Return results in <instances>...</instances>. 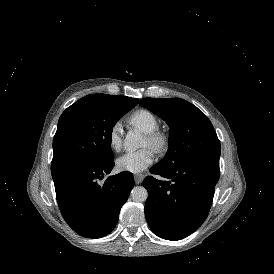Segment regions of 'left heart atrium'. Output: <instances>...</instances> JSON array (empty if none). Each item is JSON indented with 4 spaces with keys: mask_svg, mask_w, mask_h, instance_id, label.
I'll list each match as a JSON object with an SVG mask.
<instances>
[{
    "mask_svg": "<svg viewBox=\"0 0 274 274\" xmlns=\"http://www.w3.org/2000/svg\"><path fill=\"white\" fill-rule=\"evenodd\" d=\"M154 153L151 148H143L133 152H127L116 159V167L122 172L138 173L152 164Z\"/></svg>",
    "mask_w": 274,
    "mask_h": 274,
    "instance_id": "39dd6f15",
    "label": "left heart atrium"
}]
</instances>
